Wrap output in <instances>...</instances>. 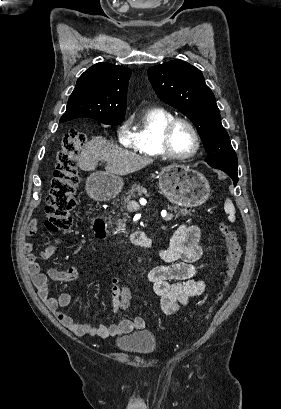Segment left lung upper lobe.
Here are the masks:
<instances>
[{"label":"left lung upper lobe","instance_id":"left-lung-upper-lobe-1","mask_svg":"<svg viewBox=\"0 0 281 409\" xmlns=\"http://www.w3.org/2000/svg\"><path fill=\"white\" fill-rule=\"evenodd\" d=\"M149 80L158 97L186 115L197 127L210 166L238 167L229 135L221 124L215 96L199 69L182 60L150 67Z\"/></svg>","mask_w":281,"mask_h":409}]
</instances>
